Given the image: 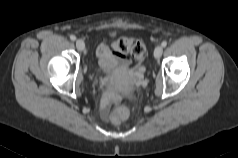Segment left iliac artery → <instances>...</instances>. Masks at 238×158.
I'll return each instance as SVG.
<instances>
[{
    "instance_id": "44dca946",
    "label": "left iliac artery",
    "mask_w": 238,
    "mask_h": 158,
    "mask_svg": "<svg viewBox=\"0 0 238 158\" xmlns=\"http://www.w3.org/2000/svg\"><path fill=\"white\" fill-rule=\"evenodd\" d=\"M161 45H162V47H166L167 46V42L163 41Z\"/></svg>"
}]
</instances>
